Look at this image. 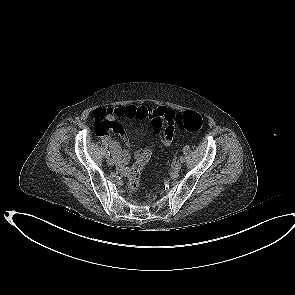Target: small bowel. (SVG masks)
<instances>
[{"label": "small bowel", "instance_id": "1", "mask_svg": "<svg viewBox=\"0 0 295 295\" xmlns=\"http://www.w3.org/2000/svg\"><path fill=\"white\" fill-rule=\"evenodd\" d=\"M168 112L175 113L166 107H159L157 109H153L150 107L137 105H127L123 107H117L114 109L99 108L94 110L93 118L95 119V131L99 136L103 137L107 141L111 149V152L117 161V166L121 173H128L127 164L129 162L130 155L128 150L122 149L117 141L111 139L105 133V131H110L115 135H122L123 138L126 139V136L124 135V128L120 126L118 123H116L113 118L122 117L140 120L149 119L151 121L152 129L155 132H160L162 134V143L165 146H169L173 140L174 131H168L165 128L166 117ZM101 116L102 118L100 119L99 125V118Z\"/></svg>", "mask_w": 295, "mask_h": 295}]
</instances>
